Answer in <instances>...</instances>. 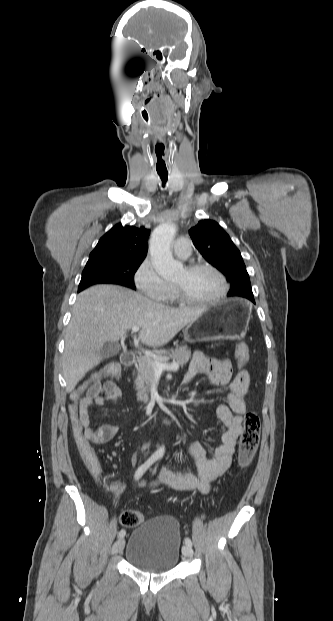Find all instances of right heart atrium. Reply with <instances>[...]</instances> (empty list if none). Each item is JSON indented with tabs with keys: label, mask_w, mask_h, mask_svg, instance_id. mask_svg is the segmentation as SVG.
I'll list each match as a JSON object with an SVG mask.
<instances>
[{
	"label": "right heart atrium",
	"mask_w": 333,
	"mask_h": 621,
	"mask_svg": "<svg viewBox=\"0 0 333 621\" xmlns=\"http://www.w3.org/2000/svg\"><path fill=\"white\" fill-rule=\"evenodd\" d=\"M134 282L141 293L154 301H164L171 288L148 259L144 260L138 267Z\"/></svg>",
	"instance_id": "obj_1"
}]
</instances>
